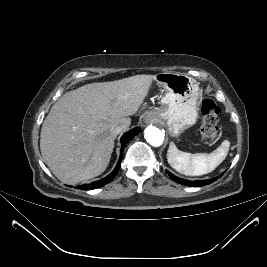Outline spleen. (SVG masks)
Masks as SVG:
<instances>
[{"instance_id":"spleen-1","label":"spleen","mask_w":267,"mask_h":267,"mask_svg":"<svg viewBox=\"0 0 267 267\" xmlns=\"http://www.w3.org/2000/svg\"><path fill=\"white\" fill-rule=\"evenodd\" d=\"M230 142L224 140L221 145L211 152L191 154L178 150L174 143H170L167 160L173 169L188 176H200L212 172L226 158Z\"/></svg>"}]
</instances>
